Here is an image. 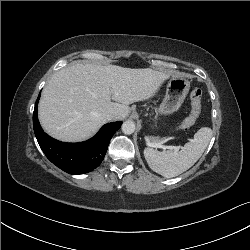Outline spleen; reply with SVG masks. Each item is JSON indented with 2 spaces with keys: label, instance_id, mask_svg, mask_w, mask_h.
I'll list each match as a JSON object with an SVG mask.
<instances>
[{
  "label": "spleen",
  "instance_id": "3e777b00",
  "mask_svg": "<svg viewBox=\"0 0 250 250\" xmlns=\"http://www.w3.org/2000/svg\"><path fill=\"white\" fill-rule=\"evenodd\" d=\"M212 137L209 127L200 128L194 139L186 143L180 150L157 151L144 149V157L149 167L156 173L166 177H176L191 168L202 156Z\"/></svg>",
  "mask_w": 250,
  "mask_h": 250
}]
</instances>
